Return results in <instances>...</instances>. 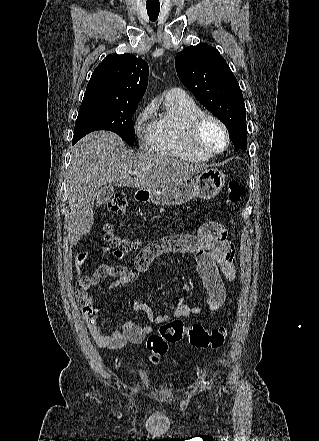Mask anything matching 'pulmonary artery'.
<instances>
[{"label":"pulmonary artery","mask_w":319,"mask_h":441,"mask_svg":"<svg viewBox=\"0 0 319 441\" xmlns=\"http://www.w3.org/2000/svg\"><path fill=\"white\" fill-rule=\"evenodd\" d=\"M166 96L171 98H184L187 95L182 89L174 87L167 91Z\"/></svg>","instance_id":"obj_1"}]
</instances>
